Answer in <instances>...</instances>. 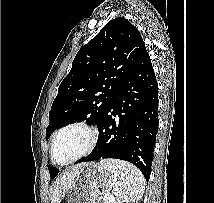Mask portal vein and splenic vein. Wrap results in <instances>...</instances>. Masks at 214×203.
Masks as SVG:
<instances>
[{
  "instance_id": "portal-vein-and-splenic-vein-1",
  "label": "portal vein and splenic vein",
  "mask_w": 214,
  "mask_h": 203,
  "mask_svg": "<svg viewBox=\"0 0 214 203\" xmlns=\"http://www.w3.org/2000/svg\"><path fill=\"white\" fill-rule=\"evenodd\" d=\"M108 196H110V195H108ZM106 200H114V198L112 196H110V197H107Z\"/></svg>"
}]
</instances>
